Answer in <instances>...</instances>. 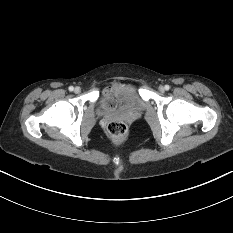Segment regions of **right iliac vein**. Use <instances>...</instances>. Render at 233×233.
Here are the masks:
<instances>
[{
  "label": "right iliac vein",
  "mask_w": 233,
  "mask_h": 233,
  "mask_svg": "<svg viewBox=\"0 0 233 233\" xmlns=\"http://www.w3.org/2000/svg\"><path fill=\"white\" fill-rule=\"evenodd\" d=\"M74 92H75L76 94L80 93V92H81V88H80V87H76V88L74 89Z\"/></svg>",
  "instance_id": "1"
}]
</instances>
